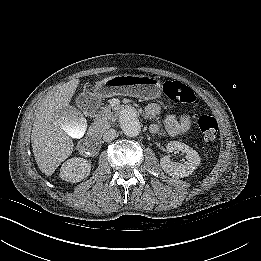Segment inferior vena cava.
<instances>
[{
  "instance_id": "1",
  "label": "inferior vena cava",
  "mask_w": 261,
  "mask_h": 261,
  "mask_svg": "<svg viewBox=\"0 0 261 261\" xmlns=\"http://www.w3.org/2000/svg\"><path fill=\"white\" fill-rule=\"evenodd\" d=\"M116 137V130L115 129H109L107 130L103 135V140L105 142H111Z\"/></svg>"
}]
</instances>
